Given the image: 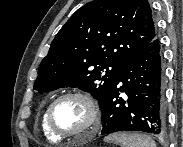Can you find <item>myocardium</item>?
<instances>
[{"mask_svg":"<svg viewBox=\"0 0 183 147\" xmlns=\"http://www.w3.org/2000/svg\"><path fill=\"white\" fill-rule=\"evenodd\" d=\"M66 98H78V99L82 100L89 109V121L86 124V126L80 130L73 131V132H62V131L58 130L53 123L52 115H53V110H54L55 106L60 101L66 99ZM99 122H100V109H99V106H98L96 100L89 93L82 92V91H69V92L59 95L57 98H55L51 102V104L47 108V112H46V123H47L49 130L57 137L63 138V139L79 136V135L93 129L95 126L98 125Z\"/></svg>","mask_w":183,"mask_h":147,"instance_id":"1","label":"myocardium"}]
</instances>
